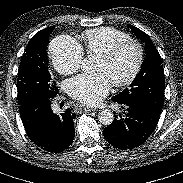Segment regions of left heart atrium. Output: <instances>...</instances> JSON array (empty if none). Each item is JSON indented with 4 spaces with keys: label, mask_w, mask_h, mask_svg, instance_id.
Segmentation results:
<instances>
[{
    "label": "left heart atrium",
    "mask_w": 183,
    "mask_h": 183,
    "mask_svg": "<svg viewBox=\"0 0 183 183\" xmlns=\"http://www.w3.org/2000/svg\"><path fill=\"white\" fill-rule=\"evenodd\" d=\"M112 82L101 71L81 74L67 82L68 93L86 105L98 104L109 92Z\"/></svg>",
    "instance_id": "obj_1"
}]
</instances>
